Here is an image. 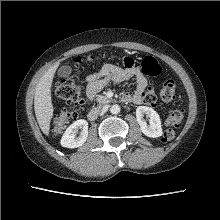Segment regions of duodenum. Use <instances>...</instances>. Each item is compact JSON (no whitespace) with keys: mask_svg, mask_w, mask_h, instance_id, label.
<instances>
[{"mask_svg":"<svg viewBox=\"0 0 220 220\" xmlns=\"http://www.w3.org/2000/svg\"><path fill=\"white\" fill-rule=\"evenodd\" d=\"M100 111H101V107H95L91 109L88 113V119L91 121L96 120L100 114Z\"/></svg>","mask_w":220,"mask_h":220,"instance_id":"1","label":"duodenum"}]
</instances>
